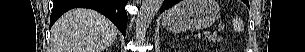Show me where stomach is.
<instances>
[{"mask_svg":"<svg viewBox=\"0 0 305 52\" xmlns=\"http://www.w3.org/2000/svg\"><path fill=\"white\" fill-rule=\"evenodd\" d=\"M216 0H183L163 15V26L173 33L200 30L211 26L219 18Z\"/></svg>","mask_w":305,"mask_h":52,"instance_id":"obj_1","label":"stomach"}]
</instances>
